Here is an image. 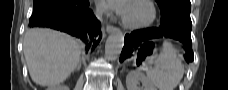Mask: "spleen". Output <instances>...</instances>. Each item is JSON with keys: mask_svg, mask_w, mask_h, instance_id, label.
I'll return each mask as SVG.
<instances>
[{"mask_svg": "<svg viewBox=\"0 0 228 90\" xmlns=\"http://www.w3.org/2000/svg\"><path fill=\"white\" fill-rule=\"evenodd\" d=\"M148 80L159 90H174L180 83L184 67L174 46L164 41L153 68H144Z\"/></svg>", "mask_w": 228, "mask_h": 90, "instance_id": "obj_1", "label": "spleen"}]
</instances>
